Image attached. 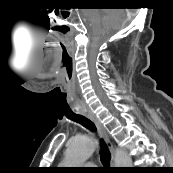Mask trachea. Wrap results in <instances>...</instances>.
<instances>
[{"mask_svg": "<svg viewBox=\"0 0 173 173\" xmlns=\"http://www.w3.org/2000/svg\"><path fill=\"white\" fill-rule=\"evenodd\" d=\"M70 120L81 124L83 127L95 131L96 127L95 124L88 119L87 117L81 115V114H74L73 116L69 117ZM100 159L101 163L104 165V167H110V159H111V154L108 150V147L103 139L100 140Z\"/></svg>", "mask_w": 173, "mask_h": 173, "instance_id": "3493384b", "label": "trachea"}]
</instances>
